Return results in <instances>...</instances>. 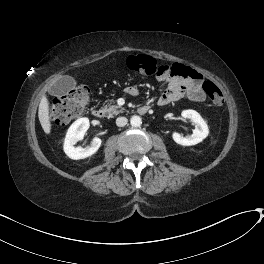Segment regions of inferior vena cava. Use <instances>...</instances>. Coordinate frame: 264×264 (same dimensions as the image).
Here are the masks:
<instances>
[{"instance_id":"602c4592","label":"inferior vena cava","mask_w":264,"mask_h":264,"mask_svg":"<svg viewBox=\"0 0 264 264\" xmlns=\"http://www.w3.org/2000/svg\"><path fill=\"white\" fill-rule=\"evenodd\" d=\"M128 119L126 117H118L116 119V125L119 127H123L127 124Z\"/></svg>"}]
</instances>
